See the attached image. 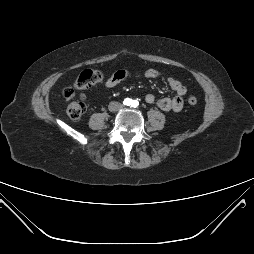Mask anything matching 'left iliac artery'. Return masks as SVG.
<instances>
[{
  "instance_id": "left-iliac-artery-1",
  "label": "left iliac artery",
  "mask_w": 254,
  "mask_h": 254,
  "mask_svg": "<svg viewBox=\"0 0 254 254\" xmlns=\"http://www.w3.org/2000/svg\"><path fill=\"white\" fill-rule=\"evenodd\" d=\"M139 105V102L137 100H134L132 102V107L136 108Z\"/></svg>"
}]
</instances>
